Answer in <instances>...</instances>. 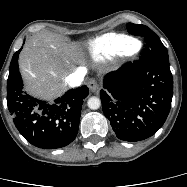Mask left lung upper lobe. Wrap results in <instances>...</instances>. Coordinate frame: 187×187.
<instances>
[{"mask_svg":"<svg viewBox=\"0 0 187 187\" xmlns=\"http://www.w3.org/2000/svg\"><path fill=\"white\" fill-rule=\"evenodd\" d=\"M127 30L130 34L143 36L145 38L147 45L140 59L169 61L167 49L150 28L145 25L128 23Z\"/></svg>","mask_w":187,"mask_h":187,"instance_id":"5c2ea615","label":"left lung upper lobe"}]
</instances>
